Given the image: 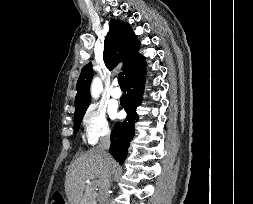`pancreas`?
<instances>
[{"label": "pancreas", "mask_w": 253, "mask_h": 204, "mask_svg": "<svg viewBox=\"0 0 253 204\" xmlns=\"http://www.w3.org/2000/svg\"><path fill=\"white\" fill-rule=\"evenodd\" d=\"M95 189L96 187L94 184L85 185V193L82 204H96L97 193Z\"/></svg>", "instance_id": "1"}]
</instances>
